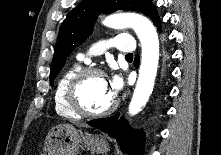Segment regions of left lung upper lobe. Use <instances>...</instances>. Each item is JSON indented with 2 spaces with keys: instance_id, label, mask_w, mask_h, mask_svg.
Here are the masks:
<instances>
[{
  "instance_id": "left-lung-upper-lobe-1",
  "label": "left lung upper lobe",
  "mask_w": 221,
  "mask_h": 155,
  "mask_svg": "<svg viewBox=\"0 0 221 155\" xmlns=\"http://www.w3.org/2000/svg\"><path fill=\"white\" fill-rule=\"evenodd\" d=\"M154 8L151 0H84L70 11L61 24L51 64L50 84L64 66L69 54L91 34L98 14L132 10L149 16Z\"/></svg>"
}]
</instances>
